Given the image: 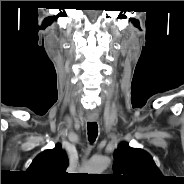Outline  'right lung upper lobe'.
Masks as SVG:
<instances>
[{
  "instance_id": "obj_1",
  "label": "right lung upper lobe",
  "mask_w": 184,
  "mask_h": 184,
  "mask_svg": "<svg viewBox=\"0 0 184 184\" xmlns=\"http://www.w3.org/2000/svg\"><path fill=\"white\" fill-rule=\"evenodd\" d=\"M69 162L66 152L57 144L54 149L40 153L31 163L28 172L40 184H62L67 180Z\"/></svg>"
}]
</instances>
